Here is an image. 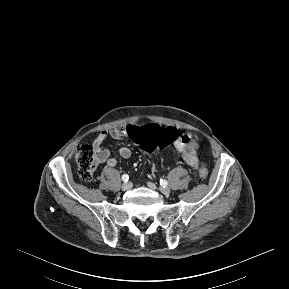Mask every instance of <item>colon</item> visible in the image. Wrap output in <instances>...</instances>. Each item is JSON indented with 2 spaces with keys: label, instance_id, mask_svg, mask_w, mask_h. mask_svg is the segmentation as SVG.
Instances as JSON below:
<instances>
[{
  "label": "colon",
  "instance_id": "obj_1",
  "mask_svg": "<svg viewBox=\"0 0 289 289\" xmlns=\"http://www.w3.org/2000/svg\"><path fill=\"white\" fill-rule=\"evenodd\" d=\"M128 131L130 138L146 154L152 153L156 148H166L181 138L176 129H162L155 124H149L144 127L131 126L128 128ZM75 159L81 179L91 181L98 164L101 162L99 151L95 146L81 145L76 152ZM207 176L208 170L202 164L199 168V177L206 179Z\"/></svg>",
  "mask_w": 289,
  "mask_h": 289
}]
</instances>
